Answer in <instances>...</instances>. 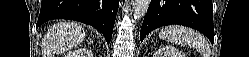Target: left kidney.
Returning <instances> with one entry per match:
<instances>
[{
  "instance_id": "left-kidney-1",
  "label": "left kidney",
  "mask_w": 249,
  "mask_h": 57,
  "mask_svg": "<svg viewBox=\"0 0 249 57\" xmlns=\"http://www.w3.org/2000/svg\"><path fill=\"white\" fill-rule=\"evenodd\" d=\"M153 57H184L174 47H162L153 53Z\"/></svg>"
}]
</instances>
